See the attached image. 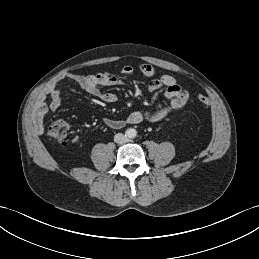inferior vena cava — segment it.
Wrapping results in <instances>:
<instances>
[{"label":"inferior vena cava","instance_id":"602c4592","mask_svg":"<svg viewBox=\"0 0 259 259\" xmlns=\"http://www.w3.org/2000/svg\"><path fill=\"white\" fill-rule=\"evenodd\" d=\"M114 141L118 144H124L128 141V138L122 133H117L114 136Z\"/></svg>","mask_w":259,"mask_h":259}]
</instances>
